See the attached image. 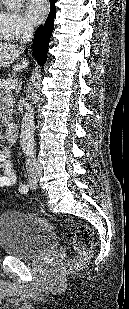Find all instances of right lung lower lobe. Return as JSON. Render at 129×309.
<instances>
[{"mask_svg": "<svg viewBox=\"0 0 129 309\" xmlns=\"http://www.w3.org/2000/svg\"><path fill=\"white\" fill-rule=\"evenodd\" d=\"M50 1V13L45 21L44 26H40L34 35L33 53L35 59L42 66L46 60L49 39L54 28V17L56 14L55 3L57 0Z\"/></svg>", "mask_w": 129, "mask_h": 309, "instance_id": "1", "label": "right lung lower lobe"}]
</instances>
